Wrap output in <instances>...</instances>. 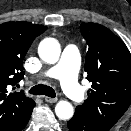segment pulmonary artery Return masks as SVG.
I'll return each mask as SVG.
<instances>
[{
	"label": "pulmonary artery",
	"mask_w": 131,
	"mask_h": 131,
	"mask_svg": "<svg viewBox=\"0 0 131 131\" xmlns=\"http://www.w3.org/2000/svg\"><path fill=\"white\" fill-rule=\"evenodd\" d=\"M79 64L80 57L77 47L67 45L60 60L46 72L49 77L59 79L63 90L76 102H81L85 98L77 81Z\"/></svg>",
	"instance_id": "pulmonary-artery-1"
}]
</instances>
